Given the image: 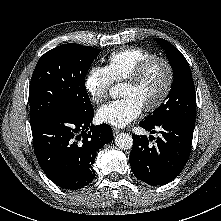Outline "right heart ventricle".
Here are the masks:
<instances>
[{
  "label": "right heart ventricle",
  "instance_id": "e07e8e85",
  "mask_svg": "<svg viewBox=\"0 0 221 221\" xmlns=\"http://www.w3.org/2000/svg\"><path fill=\"white\" fill-rule=\"evenodd\" d=\"M156 53L142 47H131L112 52L108 56L107 68L113 81L129 78L136 68Z\"/></svg>",
  "mask_w": 221,
  "mask_h": 221
}]
</instances>
